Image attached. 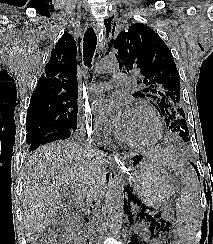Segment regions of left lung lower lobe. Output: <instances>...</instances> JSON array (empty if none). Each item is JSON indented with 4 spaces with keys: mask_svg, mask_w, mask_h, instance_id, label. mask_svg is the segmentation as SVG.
<instances>
[{
    "mask_svg": "<svg viewBox=\"0 0 213 244\" xmlns=\"http://www.w3.org/2000/svg\"><path fill=\"white\" fill-rule=\"evenodd\" d=\"M193 167L195 168V170H196V167L194 166V164H193ZM124 192H125V190H124ZM124 197H125V195H124ZM125 201V200H124ZM124 205H125V202H124Z\"/></svg>",
    "mask_w": 213,
    "mask_h": 244,
    "instance_id": "obj_1",
    "label": "left lung lower lobe"
}]
</instances>
